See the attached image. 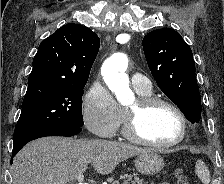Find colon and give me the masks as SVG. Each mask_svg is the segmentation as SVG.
<instances>
[{
    "label": "colon",
    "mask_w": 224,
    "mask_h": 184,
    "mask_svg": "<svg viewBox=\"0 0 224 184\" xmlns=\"http://www.w3.org/2000/svg\"><path fill=\"white\" fill-rule=\"evenodd\" d=\"M175 177H176V184H192L190 178L182 169L176 170Z\"/></svg>",
    "instance_id": "1"
}]
</instances>
